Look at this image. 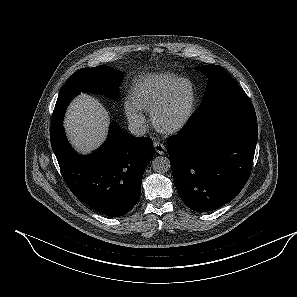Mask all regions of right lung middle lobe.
Instances as JSON below:
<instances>
[{
  "mask_svg": "<svg viewBox=\"0 0 297 297\" xmlns=\"http://www.w3.org/2000/svg\"><path fill=\"white\" fill-rule=\"evenodd\" d=\"M123 73L108 66L83 68L72 74L60 90L51 122V131L55 132L70 101L80 92H95L106 94L112 98L118 96Z\"/></svg>",
  "mask_w": 297,
  "mask_h": 297,
  "instance_id": "1",
  "label": "right lung middle lobe"
}]
</instances>
